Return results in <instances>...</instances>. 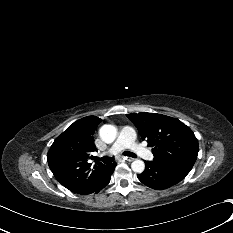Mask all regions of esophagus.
Listing matches in <instances>:
<instances>
[{
    "mask_svg": "<svg viewBox=\"0 0 233 233\" xmlns=\"http://www.w3.org/2000/svg\"><path fill=\"white\" fill-rule=\"evenodd\" d=\"M124 160L128 161V162H132L134 161V158L131 157H124Z\"/></svg>",
    "mask_w": 233,
    "mask_h": 233,
    "instance_id": "34e87169",
    "label": "esophagus"
}]
</instances>
